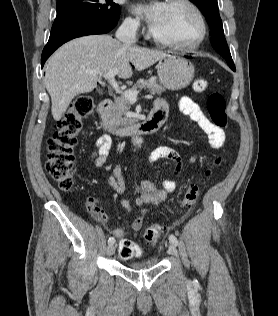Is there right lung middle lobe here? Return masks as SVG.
Masks as SVG:
<instances>
[{
	"label": "right lung middle lobe",
	"instance_id": "1",
	"mask_svg": "<svg viewBox=\"0 0 278 316\" xmlns=\"http://www.w3.org/2000/svg\"><path fill=\"white\" fill-rule=\"evenodd\" d=\"M52 30L92 20H118L120 7L112 0H58Z\"/></svg>",
	"mask_w": 278,
	"mask_h": 316
}]
</instances>
